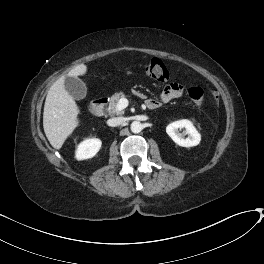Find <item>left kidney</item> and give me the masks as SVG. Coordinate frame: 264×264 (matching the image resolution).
Returning a JSON list of instances; mask_svg holds the SVG:
<instances>
[{"label":"left kidney","instance_id":"left-kidney-1","mask_svg":"<svg viewBox=\"0 0 264 264\" xmlns=\"http://www.w3.org/2000/svg\"><path fill=\"white\" fill-rule=\"evenodd\" d=\"M181 129H184L182 133L179 132ZM166 133L176 144L182 147L197 146L201 140L199 132L196 130L193 123L187 119L170 123L166 127ZM185 135H188V137L185 138Z\"/></svg>","mask_w":264,"mask_h":264}]
</instances>
